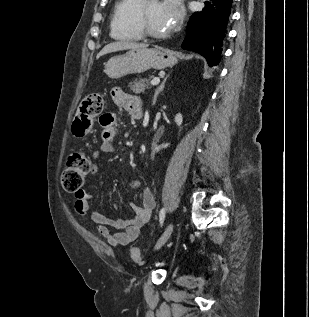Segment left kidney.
Masks as SVG:
<instances>
[{
	"mask_svg": "<svg viewBox=\"0 0 309 317\" xmlns=\"http://www.w3.org/2000/svg\"><path fill=\"white\" fill-rule=\"evenodd\" d=\"M183 122V117L180 113H178L176 116H175V123L180 126ZM169 146V143H165V144H161V145H154V148H153V152H159L161 149L163 148H167Z\"/></svg>",
	"mask_w": 309,
	"mask_h": 317,
	"instance_id": "obj_1",
	"label": "left kidney"
}]
</instances>
